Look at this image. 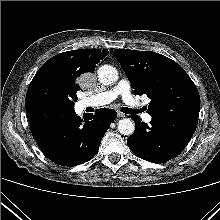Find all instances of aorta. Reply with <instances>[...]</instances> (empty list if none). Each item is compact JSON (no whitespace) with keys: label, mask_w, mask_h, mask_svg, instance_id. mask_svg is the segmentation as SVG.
Returning <instances> with one entry per match:
<instances>
[{"label":"aorta","mask_w":220,"mask_h":220,"mask_svg":"<svg viewBox=\"0 0 220 220\" xmlns=\"http://www.w3.org/2000/svg\"><path fill=\"white\" fill-rule=\"evenodd\" d=\"M100 83L111 85L118 80V71L111 65H103L97 71ZM118 131L126 136L132 135L135 131V124L129 118H124L118 122Z\"/></svg>","instance_id":"aorta-1"}]
</instances>
